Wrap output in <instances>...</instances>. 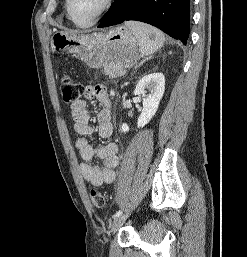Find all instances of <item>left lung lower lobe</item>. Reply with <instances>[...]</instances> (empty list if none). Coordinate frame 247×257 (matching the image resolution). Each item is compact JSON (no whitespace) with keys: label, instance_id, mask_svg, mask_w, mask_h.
<instances>
[{"label":"left lung lower lobe","instance_id":"0a47b994","mask_svg":"<svg viewBox=\"0 0 247 257\" xmlns=\"http://www.w3.org/2000/svg\"><path fill=\"white\" fill-rule=\"evenodd\" d=\"M125 20L151 24L186 45L190 32V0H115L98 27Z\"/></svg>","mask_w":247,"mask_h":257}]
</instances>
